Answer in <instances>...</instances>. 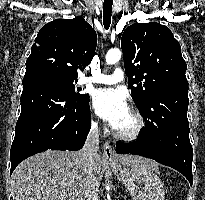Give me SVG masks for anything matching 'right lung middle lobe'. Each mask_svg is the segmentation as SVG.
I'll list each match as a JSON object with an SVG mask.
<instances>
[{
	"label": "right lung middle lobe",
	"instance_id": "dd1d6c3e",
	"mask_svg": "<svg viewBox=\"0 0 205 200\" xmlns=\"http://www.w3.org/2000/svg\"><path fill=\"white\" fill-rule=\"evenodd\" d=\"M35 78L44 79V80H47V81H51V82L57 83L71 97H73L75 99H78V100H87V99H89V95L88 94L75 93V83L77 81L75 79H70V78H66V77H63V76L52 75V74L41 75V76H37Z\"/></svg>",
	"mask_w": 205,
	"mask_h": 200
}]
</instances>
